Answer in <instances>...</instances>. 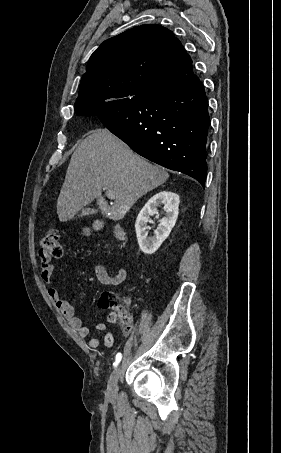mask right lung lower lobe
<instances>
[{"instance_id":"1","label":"right lung lower lobe","mask_w":281,"mask_h":453,"mask_svg":"<svg viewBox=\"0 0 281 453\" xmlns=\"http://www.w3.org/2000/svg\"><path fill=\"white\" fill-rule=\"evenodd\" d=\"M105 127L139 155L205 186L210 124L204 87L193 70L129 101L92 107Z\"/></svg>"}]
</instances>
